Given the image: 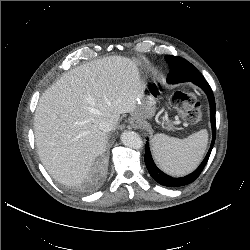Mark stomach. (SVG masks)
Masks as SVG:
<instances>
[{
    "instance_id": "1",
    "label": "stomach",
    "mask_w": 250,
    "mask_h": 250,
    "mask_svg": "<svg viewBox=\"0 0 250 250\" xmlns=\"http://www.w3.org/2000/svg\"><path fill=\"white\" fill-rule=\"evenodd\" d=\"M161 93V88L156 82H151L146 88V93L140 99L137 105V110L133 113V118L139 123L144 124L155 113V101ZM162 124L166 125L167 129H172V123L165 115L162 117Z\"/></svg>"
}]
</instances>
